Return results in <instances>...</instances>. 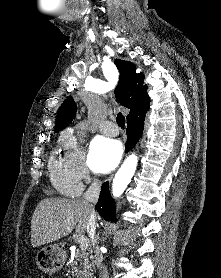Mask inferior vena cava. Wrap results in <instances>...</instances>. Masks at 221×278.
<instances>
[{
	"label": "inferior vena cava",
	"mask_w": 221,
	"mask_h": 278,
	"mask_svg": "<svg viewBox=\"0 0 221 278\" xmlns=\"http://www.w3.org/2000/svg\"><path fill=\"white\" fill-rule=\"evenodd\" d=\"M100 188H101V182L98 179H94L92 184L89 186L88 190L84 194V200L89 204L90 208V216L88 219L87 223V233L89 237L91 238V242L93 246L96 245L97 243V238H96V214L94 211V206L98 201L99 198V193H100ZM103 257L100 253L96 252L94 255V263L98 267L99 272H100V278H109L108 277V271L107 268L102 264Z\"/></svg>",
	"instance_id": "1"
}]
</instances>
